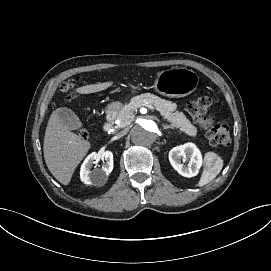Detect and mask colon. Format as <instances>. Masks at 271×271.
<instances>
[{"label": "colon", "mask_w": 271, "mask_h": 271, "mask_svg": "<svg viewBox=\"0 0 271 271\" xmlns=\"http://www.w3.org/2000/svg\"><path fill=\"white\" fill-rule=\"evenodd\" d=\"M77 80L71 79L61 85V91L68 97L75 96ZM213 103L211 94H204L187 103L186 108L193 119L205 130L206 138L212 145H228L231 142V134L228 125L224 121L216 122L207 115L209 107ZM80 136L86 139L88 132L80 130Z\"/></svg>", "instance_id": "colon-1"}]
</instances>
